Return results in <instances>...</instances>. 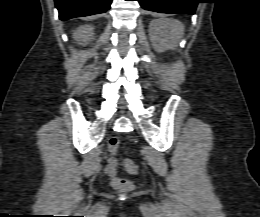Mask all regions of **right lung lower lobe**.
Listing matches in <instances>:
<instances>
[{"label": "right lung lower lobe", "instance_id": "98d812e1", "mask_svg": "<svg viewBox=\"0 0 260 217\" xmlns=\"http://www.w3.org/2000/svg\"><path fill=\"white\" fill-rule=\"evenodd\" d=\"M112 0H55L59 18L63 21L93 14L105 13Z\"/></svg>", "mask_w": 260, "mask_h": 217}]
</instances>
